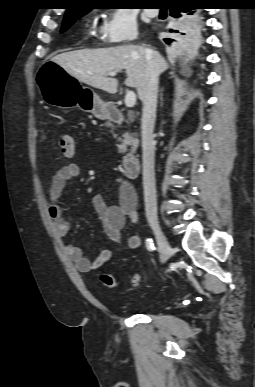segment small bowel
Wrapping results in <instances>:
<instances>
[{
	"mask_svg": "<svg viewBox=\"0 0 255 387\" xmlns=\"http://www.w3.org/2000/svg\"><path fill=\"white\" fill-rule=\"evenodd\" d=\"M80 167L76 163H68L62 166L52 177L49 187V214L53 222L56 235L65 237L70 231V222L64 217L58 204L65 187L69 181L78 178ZM92 205L99 216L104 234L118 246L122 245V229L126 221L136 223L138 221L137 197L134 188L125 182L119 186V200L117 204H108L100 194L92 196ZM141 245L138 235H132L126 240L128 249H137ZM68 257L74 262L76 268L83 273L98 270L113 257V251L103 249L99 255L91 261L83 255L82 250L72 244H64Z\"/></svg>",
	"mask_w": 255,
	"mask_h": 387,
	"instance_id": "c3829d8e",
	"label": "small bowel"
}]
</instances>
